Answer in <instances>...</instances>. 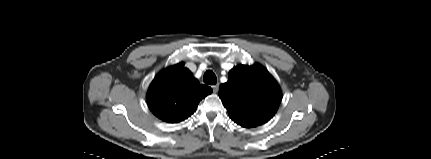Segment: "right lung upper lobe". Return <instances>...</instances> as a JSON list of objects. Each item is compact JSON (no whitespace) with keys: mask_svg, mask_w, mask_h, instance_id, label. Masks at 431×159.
Instances as JSON below:
<instances>
[{"mask_svg":"<svg viewBox=\"0 0 431 159\" xmlns=\"http://www.w3.org/2000/svg\"><path fill=\"white\" fill-rule=\"evenodd\" d=\"M212 89L201 85L182 63L161 71L152 81L147 103L159 119L177 123L191 116L200 100L210 94Z\"/></svg>","mask_w":431,"mask_h":159,"instance_id":"right-lung-upper-lobe-1","label":"right lung upper lobe"}]
</instances>
